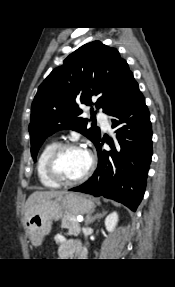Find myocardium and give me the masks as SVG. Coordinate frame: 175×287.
Returning a JSON list of instances; mask_svg holds the SVG:
<instances>
[{"label":"myocardium","mask_w":175,"mask_h":287,"mask_svg":"<svg viewBox=\"0 0 175 287\" xmlns=\"http://www.w3.org/2000/svg\"><path fill=\"white\" fill-rule=\"evenodd\" d=\"M67 149H83L85 150L90 157V164L88 169L82 174L79 178L74 180H67L60 176L57 170V161L60 155ZM96 166V160L92 152L84 148L78 143L75 142H64L57 145V147L51 152L47 164H46V172L48 177L59 185L63 186H73L80 184L86 181L89 176L93 173Z\"/></svg>","instance_id":"myocardium-1"}]
</instances>
